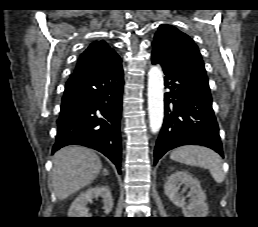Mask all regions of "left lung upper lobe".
I'll return each instance as SVG.
<instances>
[{"label": "left lung upper lobe", "instance_id": "obj_1", "mask_svg": "<svg viewBox=\"0 0 258 227\" xmlns=\"http://www.w3.org/2000/svg\"><path fill=\"white\" fill-rule=\"evenodd\" d=\"M153 52H158L199 75L207 77L200 52L193 40L171 25H160L154 36Z\"/></svg>", "mask_w": 258, "mask_h": 227}]
</instances>
